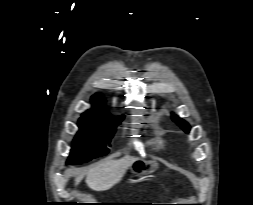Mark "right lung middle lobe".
<instances>
[{
	"label": "right lung middle lobe",
	"mask_w": 253,
	"mask_h": 205,
	"mask_svg": "<svg viewBox=\"0 0 253 205\" xmlns=\"http://www.w3.org/2000/svg\"><path fill=\"white\" fill-rule=\"evenodd\" d=\"M124 116L115 118H95L84 116L79 119L77 133L68 157L67 164H78L93 158L103 156L109 152L106 144L110 142L116 127Z\"/></svg>",
	"instance_id": "1"
}]
</instances>
